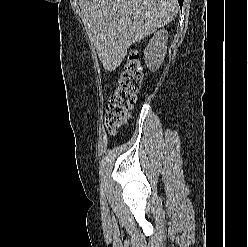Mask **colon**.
I'll list each match as a JSON object with an SVG mask.
<instances>
[{
	"mask_svg": "<svg viewBox=\"0 0 248 247\" xmlns=\"http://www.w3.org/2000/svg\"><path fill=\"white\" fill-rule=\"evenodd\" d=\"M143 79V70L139 54L130 50L117 87L110 96L105 114V126L110 133H115L129 117Z\"/></svg>",
	"mask_w": 248,
	"mask_h": 247,
	"instance_id": "1",
	"label": "colon"
}]
</instances>
